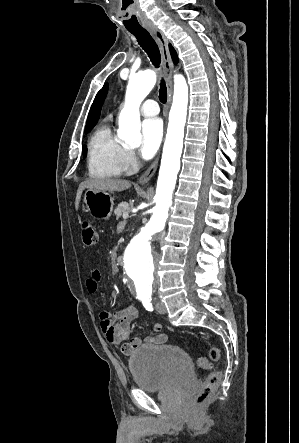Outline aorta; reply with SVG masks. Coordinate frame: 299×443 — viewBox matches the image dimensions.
Segmentation results:
<instances>
[{
  "label": "aorta",
  "instance_id": "obj_1",
  "mask_svg": "<svg viewBox=\"0 0 299 443\" xmlns=\"http://www.w3.org/2000/svg\"><path fill=\"white\" fill-rule=\"evenodd\" d=\"M155 83L156 73L152 70L129 78L125 106L119 115L117 131L118 138L127 144L134 145L141 141L139 107ZM187 106L188 86L185 78L178 74L174 76L173 103L157 181L156 205L150 220L131 239L124 255V268L132 280V292L142 301L150 300L155 293L156 256L151 248V241L163 231L172 203L180 170Z\"/></svg>",
  "mask_w": 299,
  "mask_h": 443
}]
</instances>
